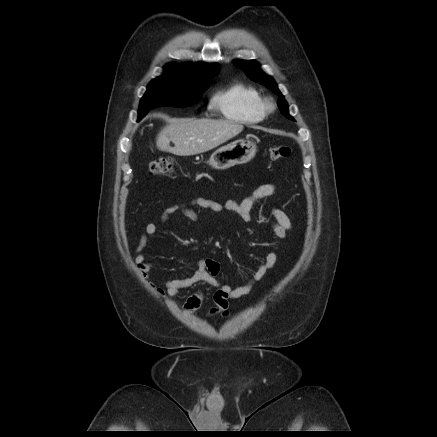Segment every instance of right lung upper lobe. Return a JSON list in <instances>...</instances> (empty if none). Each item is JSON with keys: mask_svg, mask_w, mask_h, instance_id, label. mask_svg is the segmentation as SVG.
Masks as SVG:
<instances>
[{"mask_svg": "<svg viewBox=\"0 0 437 437\" xmlns=\"http://www.w3.org/2000/svg\"><path fill=\"white\" fill-rule=\"evenodd\" d=\"M217 64H190L177 65L172 64L165 67L164 74L161 77H168L182 80L189 83H198L211 80L219 72Z\"/></svg>", "mask_w": 437, "mask_h": 437, "instance_id": "right-lung-upper-lobe-1", "label": "right lung upper lobe"}]
</instances>
